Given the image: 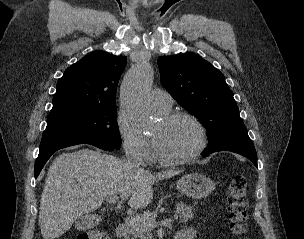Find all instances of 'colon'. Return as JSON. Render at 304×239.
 <instances>
[{
  "label": "colon",
  "instance_id": "colon-1",
  "mask_svg": "<svg viewBox=\"0 0 304 239\" xmlns=\"http://www.w3.org/2000/svg\"><path fill=\"white\" fill-rule=\"evenodd\" d=\"M247 180L245 176H234L227 190V204L232 232L246 239L247 233ZM76 239H110L102 230L92 229L80 234Z\"/></svg>",
  "mask_w": 304,
  "mask_h": 239
}]
</instances>
